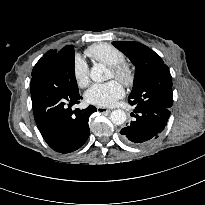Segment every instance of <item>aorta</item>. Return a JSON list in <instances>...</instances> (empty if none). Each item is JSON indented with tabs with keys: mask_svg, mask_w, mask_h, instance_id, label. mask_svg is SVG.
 I'll return each mask as SVG.
<instances>
[{
	"mask_svg": "<svg viewBox=\"0 0 205 205\" xmlns=\"http://www.w3.org/2000/svg\"><path fill=\"white\" fill-rule=\"evenodd\" d=\"M90 78L94 82H102L109 79V72L102 64H95L90 71ZM110 120L116 125H121L126 121V113L121 110H113L110 114Z\"/></svg>",
	"mask_w": 205,
	"mask_h": 205,
	"instance_id": "1",
	"label": "aorta"
}]
</instances>
